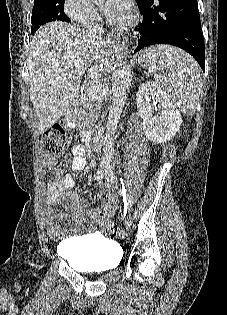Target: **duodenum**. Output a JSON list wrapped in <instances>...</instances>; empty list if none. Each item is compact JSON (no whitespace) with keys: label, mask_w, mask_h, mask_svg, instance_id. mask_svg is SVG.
I'll use <instances>...</instances> for the list:
<instances>
[{"label":"duodenum","mask_w":227,"mask_h":315,"mask_svg":"<svg viewBox=\"0 0 227 315\" xmlns=\"http://www.w3.org/2000/svg\"><path fill=\"white\" fill-rule=\"evenodd\" d=\"M66 123L70 126V127H74L75 122H76V117H75V113L74 112H69L66 114ZM83 139L86 143L91 144L93 139H94V135L91 134L90 132H84L83 133Z\"/></svg>","instance_id":"410a0bca"}]
</instances>
